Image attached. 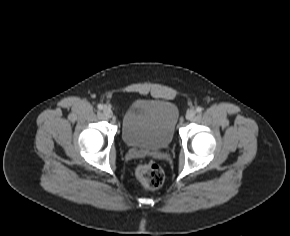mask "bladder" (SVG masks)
<instances>
[{
  "label": "bladder",
  "instance_id": "1",
  "mask_svg": "<svg viewBox=\"0 0 290 236\" xmlns=\"http://www.w3.org/2000/svg\"><path fill=\"white\" fill-rule=\"evenodd\" d=\"M177 119V109L171 102L135 101L124 113L122 139L127 146L133 148L165 149L173 140Z\"/></svg>",
  "mask_w": 290,
  "mask_h": 236
}]
</instances>
